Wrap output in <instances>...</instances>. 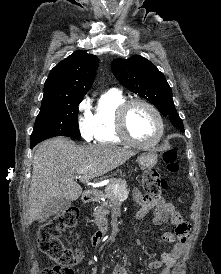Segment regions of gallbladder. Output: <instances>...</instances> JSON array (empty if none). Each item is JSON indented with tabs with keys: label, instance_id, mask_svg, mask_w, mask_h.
Segmentation results:
<instances>
[{
	"label": "gallbladder",
	"instance_id": "bac80fb5",
	"mask_svg": "<svg viewBox=\"0 0 221 274\" xmlns=\"http://www.w3.org/2000/svg\"><path fill=\"white\" fill-rule=\"evenodd\" d=\"M71 205L70 200L66 199H55L49 203H47L42 210V215L39 217V221H45L49 216L57 215L63 213L67 210Z\"/></svg>",
	"mask_w": 221,
	"mask_h": 274
}]
</instances>
